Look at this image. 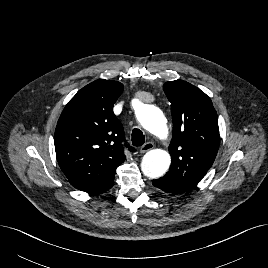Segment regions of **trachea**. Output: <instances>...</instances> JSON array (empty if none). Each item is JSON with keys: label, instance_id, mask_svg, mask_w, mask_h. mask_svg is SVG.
Listing matches in <instances>:
<instances>
[{"label": "trachea", "instance_id": "1", "mask_svg": "<svg viewBox=\"0 0 268 268\" xmlns=\"http://www.w3.org/2000/svg\"><path fill=\"white\" fill-rule=\"evenodd\" d=\"M145 142V136L140 129H133L132 131V144L134 146H141Z\"/></svg>", "mask_w": 268, "mask_h": 268}]
</instances>
